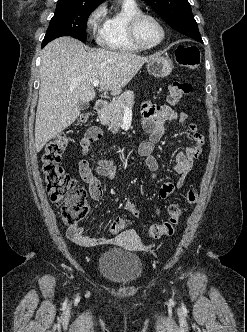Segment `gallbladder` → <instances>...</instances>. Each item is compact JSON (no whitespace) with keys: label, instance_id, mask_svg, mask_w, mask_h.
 Instances as JSON below:
<instances>
[{"label":"gallbladder","instance_id":"obj_1","mask_svg":"<svg viewBox=\"0 0 247 332\" xmlns=\"http://www.w3.org/2000/svg\"><path fill=\"white\" fill-rule=\"evenodd\" d=\"M79 106L82 110H84V109H87L89 107V103L88 102H80Z\"/></svg>","mask_w":247,"mask_h":332}]
</instances>
